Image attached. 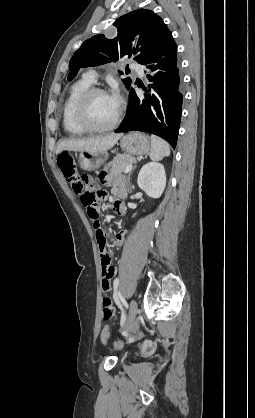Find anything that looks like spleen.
I'll use <instances>...</instances> for the list:
<instances>
[{
	"label": "spleen",
	"instance_id": "1",
	"mask_svg": "<svg viewBox=\"0 0 255 418\" xmlns=\"http://www.w3.org/2000/svg\"><path fill=\"white\" fill-rule=\"evenodd\" d=\"M170 155L169 144L162 138L151 135V152L150 159L153 161H160L164 157Z\"/></svg>",
	"mask_w": 255,
	"mask_h": 418
}]
</instances>
